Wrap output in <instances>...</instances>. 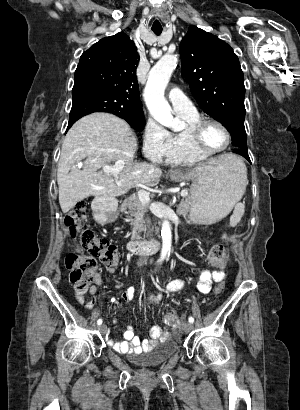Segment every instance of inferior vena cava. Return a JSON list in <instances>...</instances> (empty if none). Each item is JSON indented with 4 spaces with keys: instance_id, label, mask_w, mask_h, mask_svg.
I'll return each instance as SVG.
<instances>
[{
    "instance_id": "602c4592",
    "label": "inferior vena cava",
    "mask_w": 300,
    "mask_h": 410,
    "mask_svg": "<svg viewBox=\"0 0 300 410\" xmlns=\"http://www.w3.org/2000/svg\"><path fill=\"white\" fill-rule=\"evenodd\" d=\"M147 221H149V218H147ZM152 240V239H151ZM144 264H147V258L146 257H140L139 260L137 261V265L139 267L143 266Z\"/></svg>"
}]
</instances>
